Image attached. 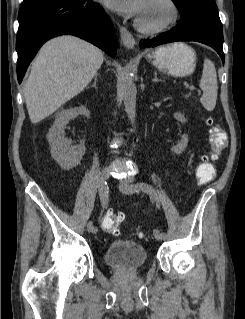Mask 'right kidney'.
<instances>
[{
    "mask_svg": "<svg viewBox=\"0 0 245 319\" xmlns=\"http://www.w3.org/2000/svg\"><path fill=\"white\" fill-rule=\"evenodd\" d=\"M79 115L89 118L90 111L83 106L61 111L57 114L47 136L51 155L64 170H70L80 164L85 154L84 141H81L77 146H72V141L65 138L66 125Z\"/></svg>",
    "mask_w": 245,
    "mask_h": 319,
    "instance_id": "right-kidney-1",
    "label": "right kidney"
}]
</instances>
